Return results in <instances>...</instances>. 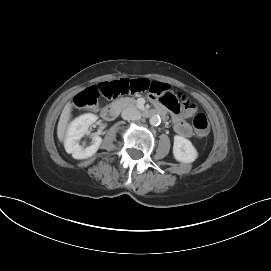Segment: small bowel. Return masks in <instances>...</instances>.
<instances>
[{
    "label": "small bowel",
    "instance_id": "1",
    "mask_svg": "<svg viewBox=\"0 0 271 271\" xmlns=\"http://www.w3.org/2000/svg\"><path fill=\"white\" fill-rule=\"evenodd\" d=\"M168 88L167 80H155L153 86L149 87L150 95H164L165 89ZM151 100L159 107H161V102L152 96ZM174 129L175 131L183 137H191L192 128L191 126L179 115L174 117Z\"/></svg>",
    "mask_w": 271,
    "mask_h": 271
}]
</instances>
